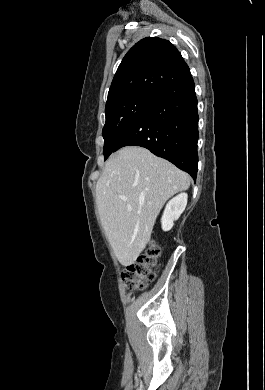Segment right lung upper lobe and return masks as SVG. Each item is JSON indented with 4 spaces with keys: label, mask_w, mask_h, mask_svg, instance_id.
<instances>
[{
    "label": "right lung upper lobe",
    "mask_w": 265,
    "mask_h": 390,
    "mask_svg": "<svg viewBox=\"0 0 265 390\" xmlns=\"http://www.w3.org/2000/svg\"><path fill=\"white\" fill-rule=\"evenodd\" d=\"M189 72L172 43L158 37L144 38L124 56L110 86L106 106L138 94L157 97Z\"/></svg>",
    "instance_id": "obj_1"
}]
</instances>
